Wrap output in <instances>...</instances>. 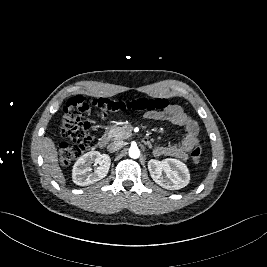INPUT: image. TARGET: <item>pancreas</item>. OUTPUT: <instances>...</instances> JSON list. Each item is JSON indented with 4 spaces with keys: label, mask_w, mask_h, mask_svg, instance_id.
Wrapping results in <instances>:
<instances>
[{
    "label": "pancreas",
    "mask_w": 267,
    "mask_h": 267,
    "mask_svg": "<svg viewBox=\"0 0 267 267\" xmlns=\"http://www.w3.org/2000/svg\"><path fill=\"white\" fill-rule=\"evenodd\" d=\"M130 127H113L107 131L105 138L107 140H124L130 136Z\"/></svg>",
    "instance_id": "pancreas-1"
}]
</instances>
